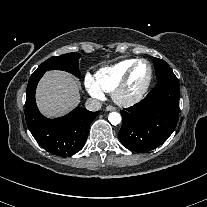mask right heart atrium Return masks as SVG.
<instances>
[{
  "mask_svg": "<svg viewBox=\"0 0 207 207\" xmlns=\"http://www.w3.org/2000/svg\"><path fill=\"white\" fill-rule=\"evenodd\" d=\"M85 85L94 96L101 97L103 95L102 91L91 79H86Z\"/></svg>",
  "mask_w": 207,
  "mask_h": 207,
  "instance_id": "1",
  "label": "right heart atrium"
}]
</instances>
